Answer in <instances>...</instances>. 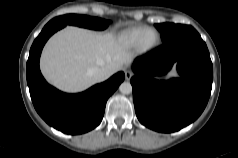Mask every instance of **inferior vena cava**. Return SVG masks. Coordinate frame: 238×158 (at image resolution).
Instances as JSON below:
<instances>
[{
    "label": "inferior vena cava",
    "instance_id": "obj_1",
    "mask_svg": "<svg viewBox=\"0 0 238 158\" xmlns=\"http://www.w3.org/2000/svg\"><path fill=\"white\" fill-rule=\"evenodd\" d=\"M89 74L97 81L102 82L110 77V71L106 67H94Z\"/></svg>",
    "mask_w": 238,
    "mask_h": 158
}]
</instances>
